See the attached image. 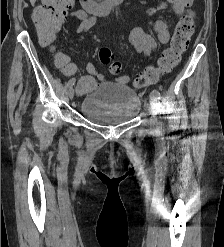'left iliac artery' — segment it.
<instances>
[{
	"mask_svg": "<svg viewBox=\"0 0 224 247\" xmlns=\"http://www.w3.org/2000/svg\"><path fill=\"white\" fill-rule=\"evenodd\" d=\"M158 100L161 98V95L158 90L153 89L151 92Z\"/></svg>",
	"mask_w": 224,
	"mask_h": 247,
	"instance_id": "1",
	"label": "left iliac artery"
}]
</instances>
